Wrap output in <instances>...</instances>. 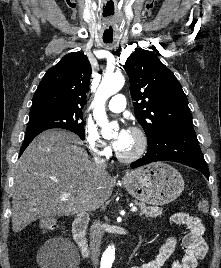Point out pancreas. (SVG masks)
Masks as SVG:
<instances>
[{
  "label": "pancreas",
  "mask_w": 221,
  "mask_h": 268,
  "mask_svg": "<svg viewBox=\"0 0 221 268\" xmlns=\"http://www.w3.org/2000/svg\"><path fill=\"white\" fill-rule=\"evenodd\" d=\"M134 204L140 207V216L155 218L157 216H161L163 213L162 208L157 206H147L146 204L137 201H134Z\"/></svg>",
  "instance_id": "pancreas-1"
}]
</instances>
